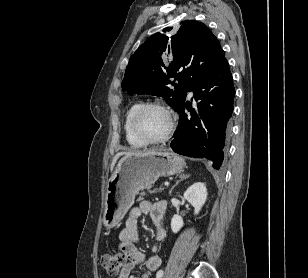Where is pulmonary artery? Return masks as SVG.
<instances>
[{"instance_id": "e3ab8cb5", "label": "pulmonary artery", "mask_w": 308, "mask_h": 278, "mask_svg": "<svg viewBox=\"0 0 308 278\" xmlns=\"http://www.w3.org/2000/svg\"><path fill=\"white\" fill-rule=\"evenodd\" d=\"M189 95H190V96H192V95H193V92H192V91H190Z\"/></svg>"}]
</instances>
